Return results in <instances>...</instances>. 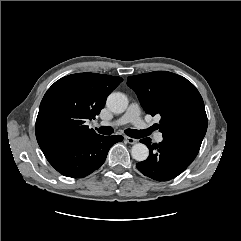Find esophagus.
I'll list each match as a JSON object with an SVG mask.
<instances>
[{"mask_svg":"<svg viewBox=\"0 0 241 241\" xmlns=\"http://www.w3.org/2000/svg\"><path fill=\"white\" fill-rule=\"evenodd\" d=\"M125 140L129 143V144H135L137 143V139L131 138V137H125Z\"/></svg>","mask_w":241,"mask_h":241,"instance_id":"esophagus-1","label":"esophagus"}]
</instances>
